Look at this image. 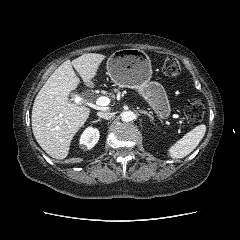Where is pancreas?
<instances>
[{
	"instance_id": "obj_1",
	"label": "pancreas",
	"mask_w": 240,
	"mask_h": 240,
	"mask_svg": "<svg viewBox=\"0 0 240 240\" xmlns=\"http://www.w3.org/2000/svg\"><path fill=\"white\" fill-rule=\"evenodd\" d=\"M118 91V90H115V92ZM112 97H114V94H112Z\"/></svg>"
}]
</instances>
